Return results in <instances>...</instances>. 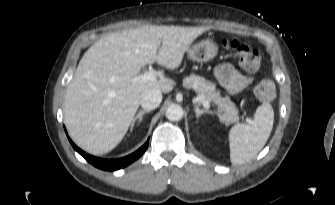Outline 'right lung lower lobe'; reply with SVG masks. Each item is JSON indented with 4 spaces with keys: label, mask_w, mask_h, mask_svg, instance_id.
Instances as JSON below:
<instances>
[{
    "label": "right lung lower lobe",
    "mask_w": 335,
    "mask_h": 205,
    "mask_svg": "<svg viewBox=\"0 0 335 205\" xmlns=\"http://www.w3.org/2000/svg\"><path fill=\"white\" fill-rule=\"evenodd\" d=\"M71 145L73 148L81 154L88 162H90L92 165H94L97 168H100L102 170H108V171H115L117 169L123 168L137 160L147 149L149 141H147L140 149H138L136 152L123 157L119 159H113V160H106L101 158H96L94 156H91L82 150H80L68 137Z\"/></svg>",
    "instance_id": "obj_1"
}]
</instances>
